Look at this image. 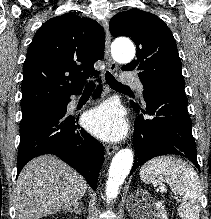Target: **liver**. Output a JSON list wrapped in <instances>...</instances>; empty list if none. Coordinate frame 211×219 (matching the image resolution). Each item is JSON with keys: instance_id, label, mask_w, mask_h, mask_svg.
<instances>
[{"instance_id": "1", "label": "liver", "mask_w": 211, "mask_h": 219, "mask_svg": "<svg viewBox=\"0 0 211 219\" xmlns=\"http://www.w3.org/2000/svg\"><path fill=\"white\" fill-rule=\"evenodd\" d=\"M85 179L59 158L39 156L26 164L15 188L17 219H39L69 209L87 190Z\"/></svg>"}]
</instances>
